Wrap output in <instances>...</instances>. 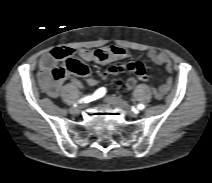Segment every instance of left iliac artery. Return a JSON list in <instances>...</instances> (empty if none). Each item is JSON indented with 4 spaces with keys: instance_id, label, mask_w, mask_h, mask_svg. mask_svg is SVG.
Wrapping results in <instances>:
<instances>
[{
    "instance_id": "obj_1",
    "label": "left iliac artery",
    "mask_w": 212,
    "mask_h": 183,
    "mask_svg": "<svg viewBox=\"0 0 212 183\" xmlns=\"http://www.w3.org/2000/svg\"><path fill=\"white\" fill-rule=\"evenodd\" d=\"M144 108H145V105H143V104H139V105L137 106V109H139V110H143ZM132 110H133V111H136L135 108H132Z\"/></svg>"
}]
</instances>
